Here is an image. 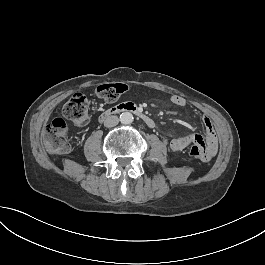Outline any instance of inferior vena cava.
<instances>
[{"mask_svg": "<svg viewBox=\"0 0 265 265\" xmlns=\"http://www.w3.org/2000/svg\"><path fill=\"white\" fill-rule=\"evenodd\" d=\"M119 123V118L117 116H108L104 121L105 127H114Z\"/></svg>", "mask_w": 265, "mask_h": 265, "instance_id": "inferior-vena-cava-1", "label": "inferior vena cava"}]
</instances>
